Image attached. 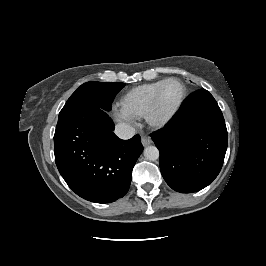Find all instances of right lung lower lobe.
Wrapping results in <instances>:
<instances>
[{
	"instance_id": "98d812e1",
	"label": "right lung lower lobe",
	"mask_w": 266,
	"mask_h": 266,
	"mask_svg": "<svg viewBox=\"0 0 266 266\" xmlns=\"http://www.w3.org/2000/svg\"><path fill=\"white\" fill-rule=\"evenodd\" d=\"M107 111L86 106L56 127L54 154L68 186L95 203L122 198L131 183L133 167L143 151L139 135L121 140Z\"/></svg>"
}]
</instances>
